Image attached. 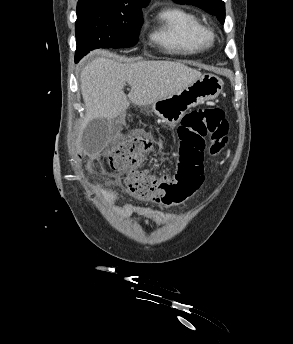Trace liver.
Segmentation results:
<instances>
[{
    "label": "liver",
    "mask_w": 293,
    "mask_h": 344,
    "mask_svg": "<svg viewBox=\"0 0 293 344\" xmlns=\"http://www.w3.org/2000/svg\"><path fill=\"white\" fill-rule=\"evenodd\" d=\"M202 76L183 63L172 61H139L122 64L98 57L80 74L81 92L86 107L85 125L96 118L111 120L123 114L129 100L144 106L181 92ZM128 83V98L123 88ZM82 150L81 138L77 141Z\"/></svg>",
    "instance_id": "6515ba94"
}]
</instances>
